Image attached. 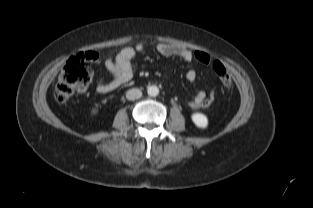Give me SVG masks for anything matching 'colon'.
<instances>
[{
	"label": "colon",
	"instance_id": "1",
	"mask_svg": "<svg viewBox=\"0 0 313 208\" xmlns=\"http://www.w3.org/2000/svg\"><path fill=\"white\" fill-rule=\"evenodd\" d=\"M194 59L202 64H209L211 57L202 51L193 53ZM96 55L94 52L78 53L69 58L63 67L54 90V97L57 103L65 104L76 91H82L90 83L93 77L91 62ZM212 68L224 87H230L232 79L222 62L216 60ZM214 91H211L202 102L201 107H208L214 101Z\"/></svg>",
	"mask_w": 313,
	"mask_h": 208
}]
</instances>
